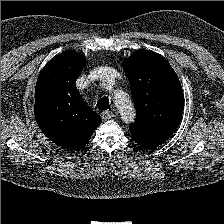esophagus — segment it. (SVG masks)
Listing matches in <instances>:
<instances>
[{
    "label": "esophagus",
    "mask_w": 224,
    "mask_h": 224,
    "mask_svg": "<svg viewBox=\"0 0 224 224\" xmlns=\"http://www.w3.org/2000/svg\"><path fill=\"white\" fill-rule=\"evenodd\" d=\"M112 117H113V114L111 111L105 110L101 113V118L104 121H107V120L111 119Z\"/></svg>",
    "instance_id": "obj_1"
}]
</instances>
